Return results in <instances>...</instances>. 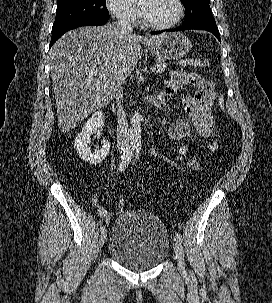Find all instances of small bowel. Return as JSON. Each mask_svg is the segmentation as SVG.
<instances>
[{"mask_svg":"<svg viewBox=\"0 0 272 303\" xmlns=\"http://www.w3.org/2000/svg\"><path fill=\"white\" fill-rule=\"evenodd\" d=\"M165 91L173 97L179 95L184 119L171 125L169 135L175 140L203 139L208 140L210 149L216 148V122L212 112L216 91L210 80L196 73L174 71L171 74ZM194 127L195 133L191 131ZM180 160L187 161L192 170L201 169V162L195 157H185L178 154Z\"/></svg>","mask_w":272,"mask_h":303,"instance_id":"c3829d8e","label":"small bowel"}]
</instances>
